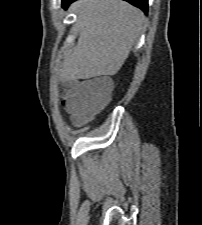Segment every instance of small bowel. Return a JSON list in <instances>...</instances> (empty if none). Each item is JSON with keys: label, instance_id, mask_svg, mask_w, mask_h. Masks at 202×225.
I'll list each match as a JSON object with an SVG mask.
<instances>
[{"label": "small bowel", "instance_id": "obj_1", "mask_svg": "<svg viewBox=\"0 0 202 225\" xmlns=\"http://www.w3.org/2000/svg\"><path fill=\"white\" fill-rule=\"evenodd\" d=\"M99 79L101 80L102 84L105 85L114 86L115 84L114 80L108 76H101ZM66 108L71 115L72 121L77 125L83 122L85 118L91 113V110L87 105L86 97L79 94L78 92H75L73 97L68 100Z\"/></svg>", "mask_w": 202, "mask_h": 225}]
</instances>
